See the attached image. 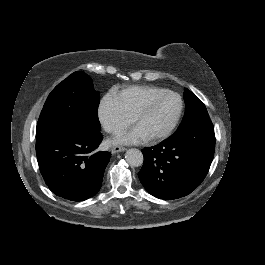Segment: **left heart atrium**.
I'll use <instances>...</instances> for the list:
<instances>
[{
  "label": "left heart atrium",
  "instance_id": "obj_1",
  "mask_svg": "<svg viewBox=\"0 0 265 265\" xmlns=\"http://www.w3.org/2000/svg\"><path fill=\"white\" fill-rule=\"evenodd\" d=\"M147 137L148 136L140 128L135 127L127 133L118 135L114 141L116 143H136Z\"/></svg>",
  "mask_w": 265,
  "mask_h": 265
}]
</instances>
